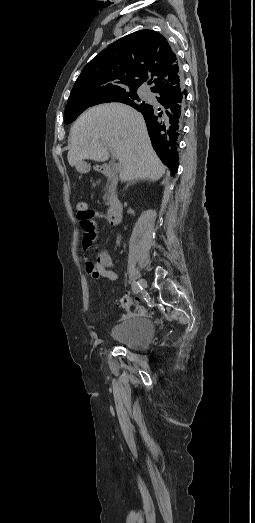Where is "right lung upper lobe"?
Instances as JSON below:
<instances>
[{
    "mask_svg": "<svg viewBox=\"0 0 255 523\" xmlns=\"http://www.w3.org/2000/svg\"><path fill=\"white\" fill-rule=\"evenodd\" d=\"M143 84L151 85L157 102L127 104L143 114L154 149L174 175L187 93L176 55L161 34L140 30L100 52L83 68L67 105L137 92Z\"/></svg>",
    "mask_w": 255,
    "mask_h": 523,
    "instance_id": "1",
    "label": "right lung upper lobe"
}]
</instances>
